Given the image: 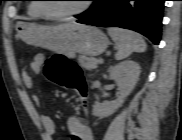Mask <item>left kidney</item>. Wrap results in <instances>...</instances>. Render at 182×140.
<instances>
[{"label": "left kidney", "instance_id": "5707ae66", "mask_svg": "<svg viewBox=\"0 0 182 140\" xmlns=\"http://www.w3.org/2000/svg\"><path fill=\"white\" fill-rule=\"evenodd\" d=\"M140 73L139 64L132 60H126L110 67L109 77L116 82L119 89V96L113 101H104L102 103L96 101L93 105V115L104 118L115 113L135 88Z\"/></svg>", "mask_w": 182, "mask_h": 140}]
</instances>
